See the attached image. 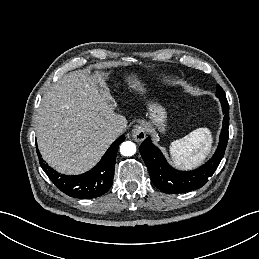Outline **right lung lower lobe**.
I'll list each match as a JSON object with an SVG mask.
<instances>
[{
  "mask_svg": "<svg viewBox=\"0 0 259 259\" xmlns=\"http://www.w3.org/2000/svg\"><path fill=\"white\" fill-rule=\"evenodd\" d=\"M124 140L125 136L118 138L93 169L78 176L56 172L43 161L38 149L37 153L42 169L62 192L74 198H95L106 193L112 186L116 153Z\"/></svg>",
  "mask_w": 259,
  "mask_h": 259,
  "instance_id": "right-lung-lower-lobe-1",
  "label": "right lung lower lobe"
}]
</instances>
